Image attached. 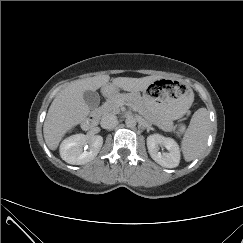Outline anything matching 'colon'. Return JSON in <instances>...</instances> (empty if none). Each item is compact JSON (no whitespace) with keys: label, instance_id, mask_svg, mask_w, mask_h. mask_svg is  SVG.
I'll list each match as a JSON object with an SVG mask.
<instances>
[{"label":"colon","instance_id":"obj_1","mask_svg":"<svg viewBox=\"0 0 243 243\" xmlns=\"http://www.w3.org/2000/svg\"><path fill=\"white\" fill-rule=\"evenodd\" d=\"M175 132L177 134H182L185 130V126L183 123H177L174 128Z\"/></svg>","mask_w":243,"mask_h":243}]
</instances>
